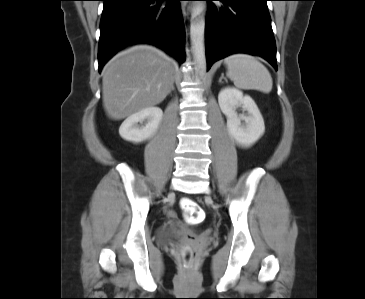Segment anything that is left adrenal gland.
Wrapping results in <instances>:
<instances>
[{
  "instance_id": "1",
  "label": "left adrenal gland",
  "mask_w": 365,
  "mask_h": 299,
  "mask_svg": "<svg viewBox=\"0 0 365 299\" xmlns=\"http://www.w3.org/2000/svg\"><path fill=\"white\" fill-rule=\"evenodd\" d=\"M222 79H224L226 81V78L224 77V74L223 73L221 74V77L219 79V83H222Z\"/></svg>"
}]
</instances>
